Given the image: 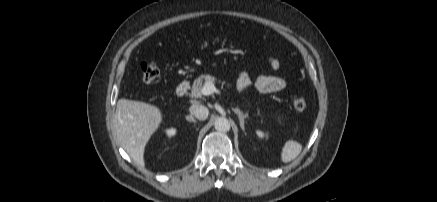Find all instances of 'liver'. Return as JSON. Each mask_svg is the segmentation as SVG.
<instances>
[{
  "label": "liver",
  "instance_id": "obj_1",
  "mask_svg": "<svg viewBox=\"0 0 437 202\" xmlns=\"http://www.w3.org/2000/svg\"><path fill=\"white\" fill-rule=\"evenodd\" d=\"M162 118L161 110L155 105L127 99L117 101L114 116L116 136L136 164L145 165V147Z\"/></svg>",
  "mask_w": 437,
  "mask_h": 202
}]
</instances>
